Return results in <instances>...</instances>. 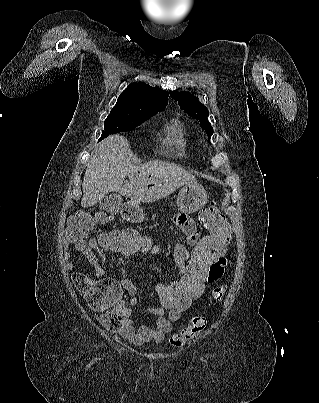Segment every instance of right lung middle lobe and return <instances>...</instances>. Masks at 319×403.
<instances>
[{"label": "right lung middle lobe", "instance_id": "dd1d6c3e", "mask_svg": "<svg viewBox=\"0 0 319 403\" xmlns=\"http://www.w3.org/2000/svg\"><path fill=\"white\" fill-rule=\"evenodd\" d=\"M149 118L150 117H131L122 112L111 110L109 116L104 122V130L102 131L100 140L104 139L110 134L133 130Z\"/></svg>", "mask_w": 319, "mask_h": 403}]
</instances>
